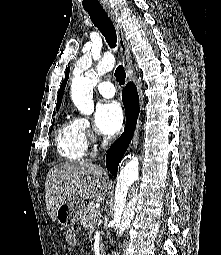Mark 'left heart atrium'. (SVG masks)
I'll list each match as a JSON object with an SVG mask.
<instances>
[{"label": "left heart atrium", "instance_id": "obj_1", "mask_svg": "<svg viewBox=\"0 0 221 255\" xmlns=\"http://www.w3.org/2000/svg\"><path fill=\"white\" fill-rule=\"evenodd\" d=\"M123 123V111L117 102H105L97 107L95 125L99 132L112 135Z\"/></svg>", "mask_w": 221, "mask_h": 255}]
</instances>
